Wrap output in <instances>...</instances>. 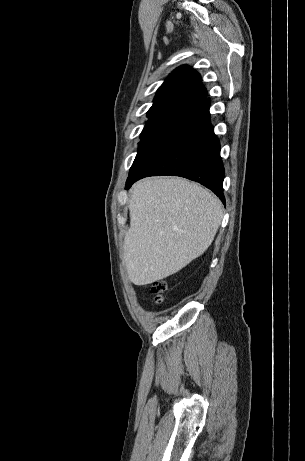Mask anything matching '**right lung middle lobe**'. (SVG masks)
Listing matches in <instances>:
<instances>
[{
  "label": "right lung middle lobe",
  "instance_id": "1",
  "mask_svg": "<svg viewBox=\"0 0 305 461\" xmlns=\"http://www.w3.org/2000/svg\"><path fill=\"white\" fill-rule=\"evenodd\" d=\"M187 111V108L180 106H164L150 108L147 114L149 120L141 133L138 153L133 166L142 161L146 155L161 142L179 117Z\"/></svg>",
  "mask_w": 305,
  "mask_h": 461
}]
</instances>
